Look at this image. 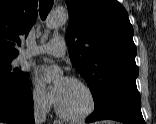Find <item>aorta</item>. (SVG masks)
Masks as SVG:
<instances>
[{
	"instance_id": "aorta-1",
	"label": "aorta",
	"mask_w": 156,
	"mask_h": 124,
	"mask_svg": "<svg viewBox=\"0 0 156 124\" xmlns=\"http://www.w3.org/2000/svg\"><path fill=\"white\" fill-rule=\"evenodd\" d=\"M68 20V13L64 9L53 10L46 20L47 30L54 29L64 25ZM59 73L58 69L48 68L46 70V77L48 81L53 80Z\"/></svg>"
}]
</instances>
